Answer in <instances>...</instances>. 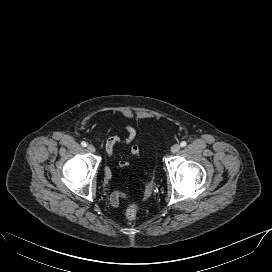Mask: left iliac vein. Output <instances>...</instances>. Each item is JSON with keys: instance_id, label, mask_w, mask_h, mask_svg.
<instances>
[{"instance_id": "1", "label": "left iliac vein", "mask_w": 272, "mask_h": 272, "mask_svg": "<svg viewBox=\"0 0 272 272\" xmlns=\"http://www.w3.org/2000/svg\"><path fill=\"white\" fill-rule=\"evenodd\" d=\"M180 150V145L179 144H174L172 147H171V152L172 153H176Z\"/></svg>"}]
</instances>
